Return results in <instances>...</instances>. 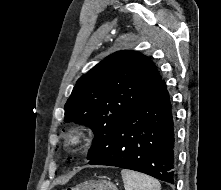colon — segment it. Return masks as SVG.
I'll use <instances>...</instances> for the list:
<instances>
[{
	"label": "colon",
	"mask_w": 221,
	"mask_h": 190,
	"mask_svg": "<svg viewBox=\"0 0 221 190\" xmlns=\"http://www.w3.org/2000/svg\"><path fill=\"white\" fill-rule=\"evenodd\" d=\"M64 190H117L115 185L106 179L88 180L80 184L69 186Z\"/></svg>",
	"instance_id": "5ec220e1"
}]
</instances>
